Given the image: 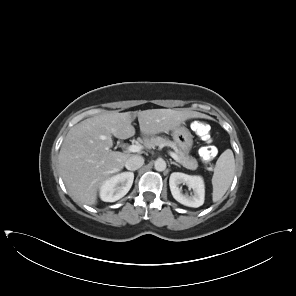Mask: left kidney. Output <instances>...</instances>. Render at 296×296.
Instances as JSON below:
<instances>
[{"instance_id": "5707ae66", "label": "left kidney", "mask_w": 296, "mask_h": 296, "mask_svg": "<svg viewBox=\"0 0 296 296\" xmlns=\"http://www.w3.org/2000/svg\"><path fill=\"white\" fill-rule=\"evenodd\" d=\"M180 184H186L188 188L193 189L192 196L184 195L179 188ZM169 186L172 196L179 203L188 207H200L204 203L205 186L201 176L187 175L181 172H173L170 175Z\"/></svg>"}]
</instances>
